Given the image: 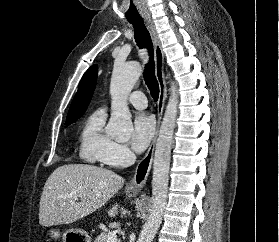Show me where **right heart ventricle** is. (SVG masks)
Returning <instances> with one entry per match:
<instances>
[{
  "label": "right heart ventricle",
  "mask_w": 279,
  "mask_h": 242,
  "mask_svg": "<svg viewBox=\"0 0 279 242\" xmlns=\"http://www.w3.org/2000/svg\"><path fill=\"white\" fill-rule=\"evenodd\" d=\"M105 119V111L97 109L83 123L79 134V154L86 162H103L114 143L104 131Z\"/></svg>",
  "instance_id": "1"
}]
</instances>
